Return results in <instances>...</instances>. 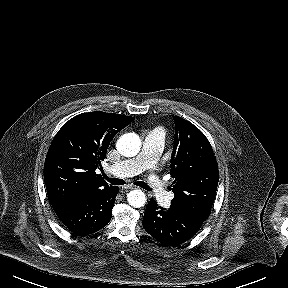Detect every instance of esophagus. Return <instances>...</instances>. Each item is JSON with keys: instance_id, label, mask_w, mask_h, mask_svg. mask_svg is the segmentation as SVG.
Returning <instances> with one entry per match:
<instances>
[{"instance_id": "esophagus-1", "label": "esophagus", "mask_w": 288, "mask_h": 288, "mask_svg": "<svg viewBox=\"0 0 288 288\" xmlns=\"http://www.w3.org/2000/svg\"><path fill=\"white\" fill-rule=\"evenodd\" d=\"M123 189H136V186L134 185H126L123 187Z\"/></svg>"}]
</instances>
